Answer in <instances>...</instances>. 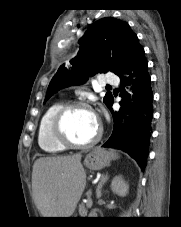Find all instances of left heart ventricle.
Wrapping results in <instances>:
<instances>
[{
  "mask_svg": "<svg viewBox=\"0 0 181 227\" xmlns=\"http://www.w3.org/2000/svg\"><path fill=\"white\" fill-rule=\"evenodd\" d=\"M64 129L73 141L86 142L97 133L98 121L92 112L76 109L71 111L65 118Z\"/></svg>",
  "mask_w": 181,
  "mask_h": 227,
  "instance_id": "1",
  "label": "left heart ventricle"
}]
</instances>
